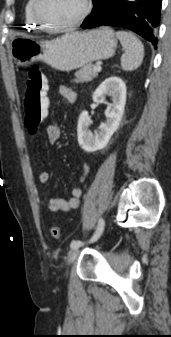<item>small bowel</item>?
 <instances>
[{
  "label": "small bowel",
  "mask_w": 171,
  "mask_h": 337,
  "mask_svg": "<svg viewBox=\"0 0 171 337\" xmlns=\"http://www.w3.org/2000/svg\"><path fill=\"white\" fill-rule=\"evenodd\" d=\"M59 94L65 98L68 102L74 103L77 99V94L74 90L67 86L59 87ZM49 110V107H46ZM61 128L56 123H50L46 127V135L50 144L57 143L61 138ZM90 170L86 163H82L81 175L76 185L71 189V197L68 200L57 197H45L41 200V204L47 208L50 212L55 214L65 213L70 210L76 209L79 205V199L82 195V188L80 186L85 180L89 178ZM50 176L47 172H41L39 174V181L42 184L49 182Z\"/></svg>",
  "instance_id": "small-bowel-1"
}]
</instances>
